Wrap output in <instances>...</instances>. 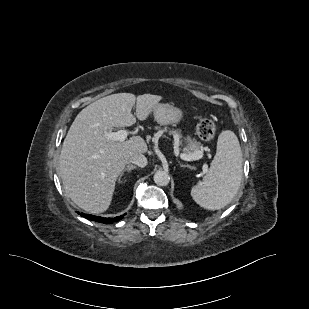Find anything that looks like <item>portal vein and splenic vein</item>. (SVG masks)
<instances>
[{"label": "portal vein and splenic vein", "mask_w": 309, "mask_h": 309, "mask_svg": "<svg viewBox=\"0 0 309 309\" xmlns=\"http://www.w3.org/2000/svg\"><path fill=\"white\" fill-rule=\"evenodd\" d=\"M129 135V131L127 130H119L117 132H106L104 134V137L108 140H113V141H120L123 142L127 139V136ZM203 156L202 151H196L193 154H181V159L185 161H194V160H199ZM204 169H206V166H204Z\"/></svg>", "instance_id": "portal-vein-and-splenic-vein-1"}]
</instances>
